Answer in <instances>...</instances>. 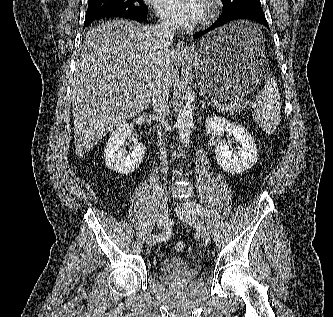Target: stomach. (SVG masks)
<instances>
[{
  "instance_id": "0dacf381",
  "label": "stomach",
  "mask_w": 333,
  "mask_h": 317,
  "mask_svg": "<svg viewBox=\"0 0 333 317\" xmlns=\"http://www.w3.org/2000/svg\"><path fill=\"white\" fill-rule=\"evenodd\" d=\"M264 38L259 24L235 21L207 34L193 66L201 90L224 100L258 95L270 82L264 71Z\"/></svg>"
}]
</instances>
